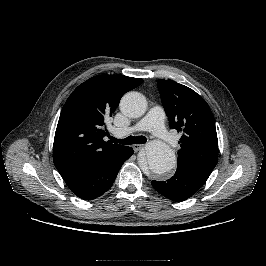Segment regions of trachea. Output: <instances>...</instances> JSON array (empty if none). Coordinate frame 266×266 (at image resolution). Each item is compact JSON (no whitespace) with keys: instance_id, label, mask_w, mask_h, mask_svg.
Returning <instances> with one entry per match:
<instances>
[{"instance_id":"1","label":"trachea","mask_w":266,"mask_h":266,"mask_svg":"<svg viewBox=\"0 0 266 266\" xmlns=\"http://www.w3.org/2000/svg\"><path fill=\"white\" fill-rule=\"evenodd\" d=\"M147 139L144 136H128L125 139H116L114 137H110L111 143H120L123 145H131V144H144Z\"/></svg>"}]
</instances>
